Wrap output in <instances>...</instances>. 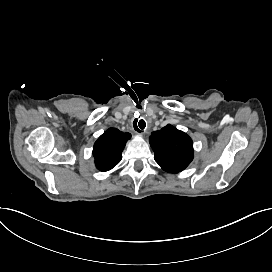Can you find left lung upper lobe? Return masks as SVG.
<instances>
[{"label":"left lung upper lobe","mask_w":272,"mask_h":272,"mask_svg":"<svg viewBox=\"0 0 272 272\" xmlns=\"http://www.w3.org/2000/svg\"><path fill=\"white\" fill-rule=\"evenodd\" d=\"M149 142L155 161L169 173L181 172L193 160L192 139L170 124L153 132Z\"/></svg>","instance_id":"1"}]
</instances>
